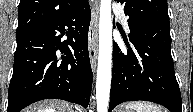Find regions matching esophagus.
<instances>
[{
	"instance_id": "1",
	"label": "esophagus",
	"mask_w": 193,
	"mask_h": 112,
	"mask_svg": "<svg viewBox=\"0 0 193 112\" xmlns=\"http://www.w3.org/2000/svg\"><path fill=\"white\" fill-rule=\"evenodd\" d=\"M98 13L99 1L95 0L92 6V17L88 33V47L92 70L96 68L97 52H98Z\"/></svg>"
}]
</instances>
